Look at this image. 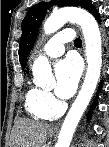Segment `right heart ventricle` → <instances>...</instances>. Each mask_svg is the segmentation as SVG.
Instances as JSON below:
<instances>
[{"mask_svg": "<svg viewBox=\"0 0 109 147\" xmlns=\"http://www.w3.org/2000/svg\"><path fill=\"white\" fill-rule=\"evenodd\" d=\"M42 90L28 80L24 92V106L27 113L38 120H47L55 117L59 109H50L42 103Z\"/></svg>", "mask_w": 109, "mask_h": 147, "instance_id": "1", "label": "right heart ventricle"}]
</instances>
